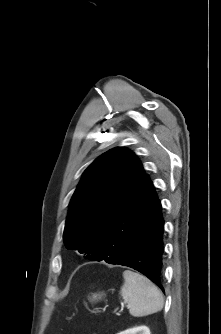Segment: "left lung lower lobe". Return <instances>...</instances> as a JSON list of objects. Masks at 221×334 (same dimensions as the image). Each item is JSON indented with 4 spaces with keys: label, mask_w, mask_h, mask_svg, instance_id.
<instances>
[{
    "label": "left lung lower lobe",
    "mask_w": 221,
    "mask_h": 334,
    "mask_svg": "<svg viewBox=\"0 0 221 334\" xmlns=\"http://www.w3.org/2000/svg\"><path fill=\"white\" fill-rule=\"evenodd\" d=\"M161 203L147 175L112 220L93 261L134 268L162 291L164 221Z\"/></svg>",
    "instance_id": "0a47b994"
}]
</instances>
